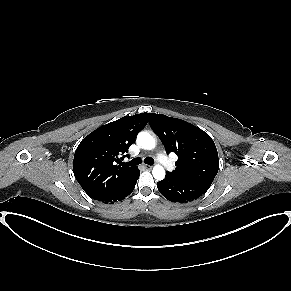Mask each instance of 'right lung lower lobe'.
<instances>
[{"label":"right lung lower lobe","instance_id":"98d812e1","mask_svg":"<svg viewBox=\"0 0 291 291\" xmlns=\"http://www.w3.org/2000/svg\"><path fill=\"white\" fill-rule=\"evenodd\" d=\"M139 175L140 171L137 168L134 174L129 179H127L117 190L98 199V201H101L103 203H114L116 201L123 200L126 196L130 195L134 190Z\"/></svg>","mask_w":291,"mask_h":291}]
</instances>
